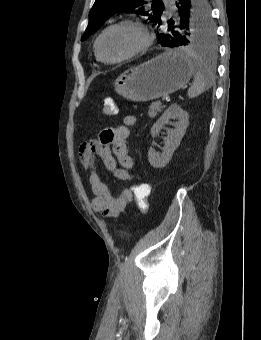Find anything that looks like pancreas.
I'll list each match as a JSON object with an SVG mask.
<instances>
[{"instance_id":"1","label":"pancreas","mask_w":261,"mask_h":340,"mask_svg":"<svg viewBox=\"0 0 261 340\" xmlns=\"http://www.w3.org/2000/svg\"><path fill=\"white\" fill-rule=\"evenodd\" d=\"M163 109V106L161 104L160 101L154 102L150 105L149 107V117L150 118H155L156 115L161 112V110Z\"/></svg>"}]
</instances>
